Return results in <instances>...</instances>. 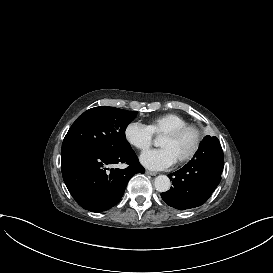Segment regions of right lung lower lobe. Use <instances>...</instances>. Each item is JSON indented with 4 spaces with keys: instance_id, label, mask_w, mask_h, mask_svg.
<instances>
[{
    "instance_id": "right-lung-lower-lobe-1",
    "label": "right lung lower lobe",
    "mask_w": 273,
    "mask_h": 273,
    "mask_svg": "<svg viewBox=\"0 0 273 273\" xmlns=\"http://www.w3.org/2000/svg\"><path fill=\"white\" fill-rule=\"evenodd\" d=\"M126 163L125 169H110L112 164ZM64 182L75 201L91 212H103L122 198L130 178L145 169L132 149L113 153L81 148L61 155Z\"/></svg>"
}]
</instances>
